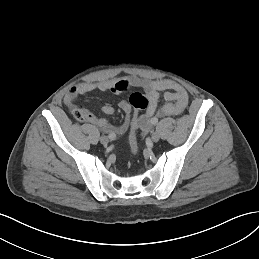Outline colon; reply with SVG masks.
<instances>
[{
  "instance_id": "obj_1",
  "label": "colon",
  "mask_w": 259,
  "mask_h": 259,
  "mask_svg": "<svg viewBox=\"0 0 259 259\" xmlns=\"http://www.w3.org/2000/svg\"><path fill=\"white\" fill-rule=\"evenodd\" d=\"M129 103L131 107L134 109V115L131 120L129 143H130V148L132 153L136 154L138 151L136 131L139 127V120H140L139 112L147 109L149 101L145 94L135 92L131 94L129 98ZM72 112L74 117L79 121H86L88 112L83 106L74 105L72 108Z\"/></svg>"
}]
</instances>
